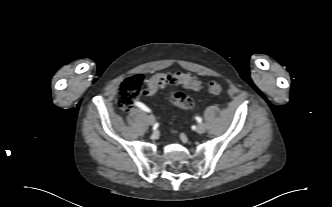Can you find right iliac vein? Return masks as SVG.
Segmentation results:
<instances>
[{"mask_svg": "<svg viewBox=\"0 0 332 207\" xmlns=\"http://www.w3.org/2000/svg\"><path fill=\"white\" fill-rule=\"evenodd\" d=\"M147 121H148V123L150 125H153L155 123V117H154V115H152V114L148 115Z\"/></svg>", "mask_w": 332, "mask_h": 207, "instance_id": "63e3f726", "label": "right iliac vein"}]
</instances>
